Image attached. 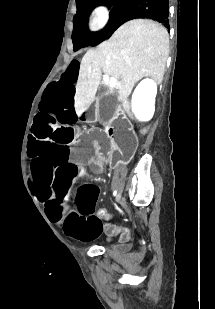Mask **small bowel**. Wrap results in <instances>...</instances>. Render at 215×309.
Wrapping results in <instances>:
<instances>
[{"label": "small bowel", "instance_id": "1", "mask_svg": "<svg viewBox=\"0 0 215 309\" xmlns=\"http://www.w3.org/2000/svg\"><path fill=\"white\" fill-rule=\"evenodd\" d=\"M97 216H98V215H97ZM94 228H95V227H94ZM123 238H124V239H126V238H127V236H124Z\"/></svg>", "mask_w": 215, "mask_h": 309}]
</instances>
